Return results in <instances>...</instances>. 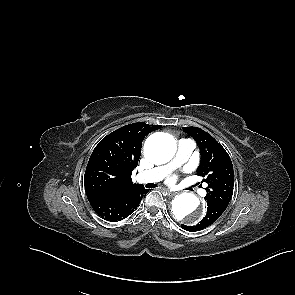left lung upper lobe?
I'll list each match as a JSON object with an SVG mask.
<instances>
[{"label": "left lung upper lobe", "mask_w": 295, "mask_h": 295, "mask_svg": "<svg viewBox=\"0 0 295 295\" xmlns=\"http://www.w3.org/2000/svg\"><path fill=\"white\" fill-rule=\"evenodd\" d=\"M183 131L192 136L200 149V165L197 175L204 177L208 184L206 201L229 203L233 194L234 171L231 159L209 133L198 127H183Z\"/></svg>", "instance_id": "left-lung-upper-lobe-1"}]
</instances>
